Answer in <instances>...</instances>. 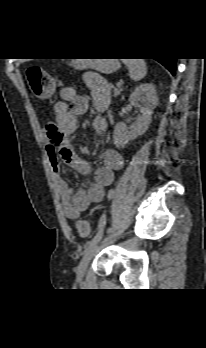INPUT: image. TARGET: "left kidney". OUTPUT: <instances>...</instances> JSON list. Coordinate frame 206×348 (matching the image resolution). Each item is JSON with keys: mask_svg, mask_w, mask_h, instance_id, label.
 <instances>
[{"mask_svg": "<svg viewBox=\"0 0 206 348\" xmlns=\"http://www.w3.org/2000/svg\"><path fill=\"white\" fill-rule=\"evenodd\" d=\"M130 103L139 109L141 115L138 116L131 128L119 122L114 127L113 141L118 149L144 134L150 123L154 109L158 105V97L155 87L149 83H143L135 88L129 98Z\"/></svg>", "mask_w": 206, "mask_h": 348, "instance_id": "5707ae66", "label": "left kidney"}]
</instances>
